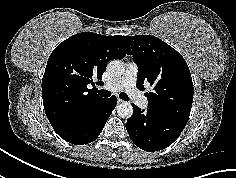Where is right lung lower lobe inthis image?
<instances>
[{"instance_id":"obj_1","label":"right lung lower lobe","mask_w":236,"mask_h":178,"mask_svg":"<svg viewBox=\"0 0 236 178\" xmlns=\"http://www.w3.org/2000/svg\"><path fill=\"white\" fill-rule=\"evenodd\" d=\"M116 103L115 96L104 99L82 118L54 130L69 143L75 145L88 144L100 135Z\"/></svg>"}]
</instances>
